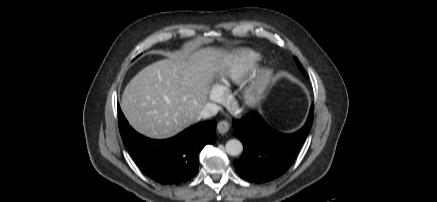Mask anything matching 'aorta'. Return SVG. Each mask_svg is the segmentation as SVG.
<instances>
[{
	"label": "aorta",
	"mask_w": 437,
	"mask_h": 202,
	"mask_svg": "<svg viewBox=\"0 0 437 202\" xmlns=\"http://www.w3.org/2000/svg\"><path fill=\"white\" fill-rule=\"evenodd\" d=\"M226 152L231 156L239 155L243 150L242 143L237 139H231L227 141L225 145Z\"/></svg>",
	"instance_id": "762f6f07"
}]
</instances>
